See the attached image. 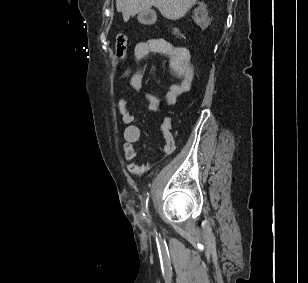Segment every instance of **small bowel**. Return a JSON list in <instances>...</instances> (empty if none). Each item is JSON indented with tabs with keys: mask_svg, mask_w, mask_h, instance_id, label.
Instances as JSON below:
<instances>
[{
	"mask_svg": "<svg viewBox=\"0 0 308 283\" xmlns=\"http://www.w3.org/2000/svg\"><path fill=\"white\" fill-rule=\"evenodd\" d=\"M134 54L139 59L151 54H162L169 58L170 67L173 73L181 79V82L172 85L165 95L164 102L167 106L175 105L177 100L189 91L195 77V71L191 63V56L186 49L175 46L164 39H146L135 46ZM126 81L133 90H140L143 84V73L141 71L134 72L130 69L124 70L119 75L118 82L123 84ZM146 98L149 101L150 110L152 112L159 111V99L151 94H146ZM117 110L121 121L125 124L123 150L125 158L129 162L127 168L133 174H143L151 168L152 164L141 165L136 163L135 144L139 141L141 133L139 127L134 124V116L129 110L127 100L122 96L117 101ZM163 135L165 145L160 150V157L162 158L172 154L176 148L175 137L168 125L164 126Z\"/></svg>",
	"mask_w": 308,
	"mask_h": 283,
	"instance_id": "1",
	"label": "small bowel"
}]
</instances>
